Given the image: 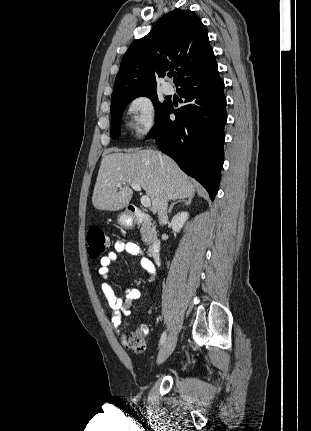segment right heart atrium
Masks as SVG:
<instances>
[{
    "label": "right heart atrium",
    "instance_id": "1",
    "mask_svg": "<svg viewBox=\"0 0 311 431\" xmlns=\"http://www.w3.org/2000/svg\"><path fill=\"white\" fill-rule=\"evenodd\" d=\"M129 123L138 138L149 135L157 126L158 113L153 97L145 92L131 97L126 104Z\"/></svg>",
    "mask_w": 311,
    "mask_h": 431
}]
</instances>
